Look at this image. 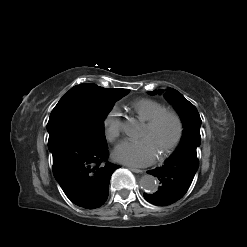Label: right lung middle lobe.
I'll return each mask as SVG.
<instances>
[{
  "mask_svg": "<svg viewBox=\"0 0 247 247\" xmlns=\"http://www.w3.org/2000/svg\"><path fill=\"white\" fill-rule=\"evenodd\" d=\"M127 89H106L95 84H81L70 89L51 112L49 134L65 132L96 146H106L104 119L115 101L127 95Z\"/></svg>",
  "mask_w": 247,
  "mask_h": 247,
  "instance_id": "dd1d6c3e",
  "label": "right lung middle lobe"
}]
</instances>
